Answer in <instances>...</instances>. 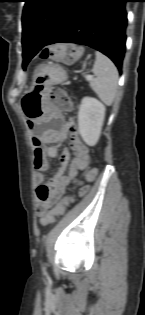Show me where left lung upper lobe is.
<instances>
[{"mask_svg":"<svg viewBox=\"0 0 145 315\" xmlns=\"http://www.w3.org/2000/svg\"><path fill=\"white\" fill-rule=\"evenodd\" d=\"M74 0H25L22 35L32 34L44 42L60 26ZM29 60H23V69Z\"/></svg>","mask_w":145,"mask_h":315,"instance_id":"obj_1","label":"left lung upper lobe"}]
</instances>
